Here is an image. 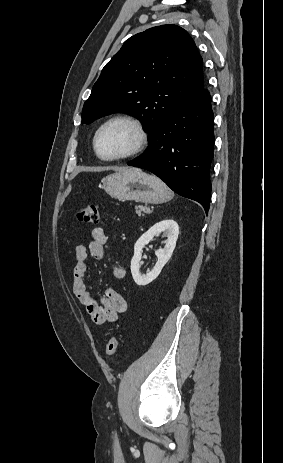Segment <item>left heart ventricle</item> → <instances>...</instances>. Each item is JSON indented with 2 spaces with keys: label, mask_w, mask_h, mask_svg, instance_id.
Here are the masks:
<instances>
[{
  "label": "left heart ventricle",
  "mask_w": 283,
  "mask_h": 463,
  "mask_svg": "<svg viewBox=\"0 0 283 463\" xmlns=\"http://www.w3.org/2000/svg\"><path fill=\"white\" fill-rule=\"evenodd\" d=\"M136 141L134 129L122 122L105 128L98 139L99 153L104 157H112L128 152Z\"/></svg>",
  "instance_id": "obj_1"
}]
</instances>
